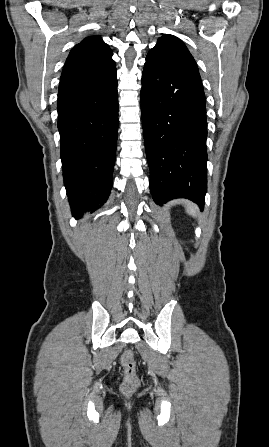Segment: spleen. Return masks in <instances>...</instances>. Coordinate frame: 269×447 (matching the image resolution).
<instances>
[{
  "label": "spleen",
  "mask_w": 269,
  "mask_h": 447,
  "mask_svg": "<svg viewBox=\"0 0 269 447\" xmlns=\"http://www.w3.org/2000/svg\"><path fill=\"white\" fill-rule=\"evenodd\" d=\"M186 212L187 214H190V216H196L197 208L196 206H193V204H190V206H187Z\"/></svg>",
  "instance_id": "spleen-1"
}]
</instances>
